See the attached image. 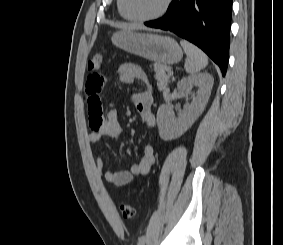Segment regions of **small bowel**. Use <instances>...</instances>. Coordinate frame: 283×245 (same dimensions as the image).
Instances as JSON below:
<instances>
[{"mask_svg": "<svg viewBox=\"0 0 283 245\" xmlns=\"http://www.w3.org/2000/svg\"><path fill=\"white\" fill-rule=\"evenodd\" d=\"M116 74L122 83L131 84L138 81L146 87L144 91L134 94L132 98L142 123L147 127L154 128L156 120L151 109L154 98L153 90L144 70L132 63H123L118 66ZM106 82L107 79L100 73H90L85 82L89 126L91 128L88 139L91 143H98L103 137L117 139L123 132L122 126L118 121V112L115 108L109 109L106 114L103 113L100 93ZM154 163V148L152 145L147 144L142 149L139 163L131 166L126 171L104 169L103 159L97 157L95 159V174L103 182L115 186H123L131 182L136 176L148 174Z\"/></svg>", "mask_w": 283, "mask_h": 245, "instance_id": "small-bowel-1", "label": "small bowel"}]
</instances>
